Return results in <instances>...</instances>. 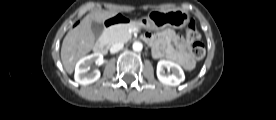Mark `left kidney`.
<instances>
[{
    "label": "left kidney",
    "instance_id": "left-kidney-1",
    "mask_svg": "<svg viewBox=\"0 0 276 120\" xmlns=\"http://www.w3.org/2000/svg\"><path fill=\"white\" fill-rule=\"evenodd\" d=\"M165 69L171 70L172 74H165ZM158 80L169 86H177L184 81L185 75L182 68L168 60H160L157 64Z\"/></svg>",
    "mask_w": 276,
    "mask_h": 120
}]
</instances>
